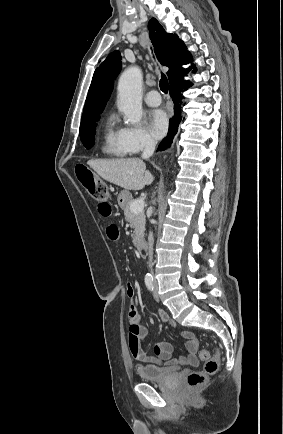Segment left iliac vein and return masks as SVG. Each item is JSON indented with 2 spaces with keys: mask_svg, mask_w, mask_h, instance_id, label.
I'll return each instance as SVG.
<instances>
[{
  "mask_svg": "<svg viewBox=\"0 0 283 434\" xmlns=\"http://www.w3.org/2000/svg\"><path fill=\"white\" fill-rule=\"evenodd\" d=\"M153 288H154V298L158 301L159 300V296H158V284H157L156 280L153 283Z\"/></svg>",
  "mask_w": 283,
  "mask_h": 434,
  "instance_id": "left-iliac-vein-1",
  "label": "left iliac vein"
}]
</instances>
